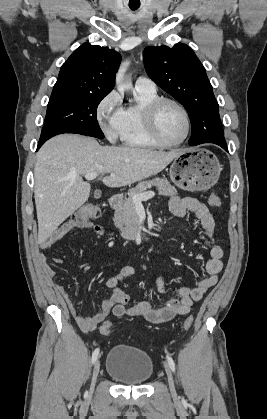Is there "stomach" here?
<instances>
[{
    "label": "stomach",
    "mask_w": 267,
    "mask_h": 419,
    "mask_svg": "<svg viewBox=\"0 0 267 419\" xmlns=\"http://www.w3.org/2000/svg\"><path fill=\"white\" fill-rule=\"evenodd\" d=\"M221 165L214 153L203 148L184 150L170 166V178L186 191H204L216 184Z\"/></svg>",
    "instance_id": "0dacf381"
}]
</instances>
